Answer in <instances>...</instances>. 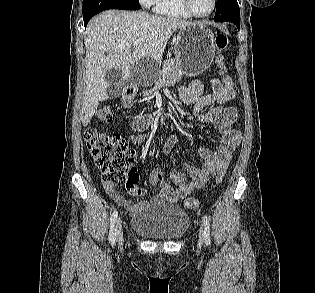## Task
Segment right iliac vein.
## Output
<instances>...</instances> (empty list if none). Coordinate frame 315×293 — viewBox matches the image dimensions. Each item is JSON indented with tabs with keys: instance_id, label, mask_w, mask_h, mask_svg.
Returning <instances> with one entry per match:
<instances>
[{
	"instance_id": "obj_1",
	"label": "right iliac vein",
	"mask_w": 315,
	"mask_h": 293,
	"mask_svg": "<svg viewBox=\"0 0 315 293\" xmlns=\"http://www.w3.org/2000/svg\"><path fill=\"white\" fill-rule=\"evenodd\" d=\"M115 230H116L117 240L121 241L123 238V230H122V222L120 219H118L116 222Z\"/></svg>"
}]
</instances>
